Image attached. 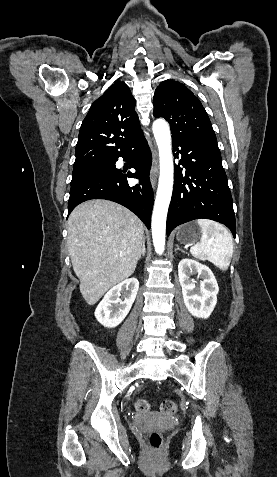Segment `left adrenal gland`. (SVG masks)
<instances>
[{
  "label": "left adrenal gland",
  "instance_id": "left-adrenal-gland-1",
  "mask_svg": "<svg viewBox=\"0 0 277 477\" xmlns=\"http://www.w3.org/2000/svg\"><path fill=\"white\" fill-rule=\"evenodd\" d=\"M177 250H179V251H181L182 253H184V251H183L178 245H176L175 251H177Z\"/></svg>",
  "mask_w": 277,
  "mask_h": 477
}]
</instances>
